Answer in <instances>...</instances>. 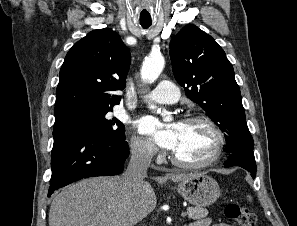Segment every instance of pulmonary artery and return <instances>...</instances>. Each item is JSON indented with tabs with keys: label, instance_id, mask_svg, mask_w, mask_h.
<instances>
[{
	"label": "pulmonary artery",
	"instance_id": "e3ab8cb5",
	"mask_svg": "<svg viewBox=\"0 0 297 226\" xmlns=\"http://www.w3.org/2000/svg\"><path fill=\"white\" fill-rule=\"evenodd\" d=\"M180 98V91L172 82L163 80L149 94L148 99L158 104H173Z\"/></svg>",
	"mask_w": 297,
	"mask_h": 226
}]
</instances>
